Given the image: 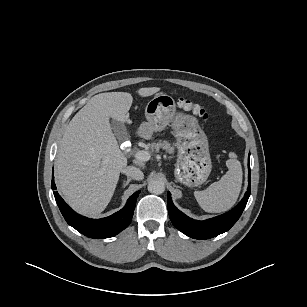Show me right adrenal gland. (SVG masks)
<instances>
[{
  "label": "right adrenal gland",
  "mask_w": 307,
  "mask_h": 307,
  "mask_svg": "<svg viewBox=\"0 0 307 307\" xmlns=\"http://www.w3.org/2000/svg\"><path fill=\"white\" fill-rule=\"evenodd\" d=\"M132 179V177H127L126 183L122 187L125 188L126 186H128Z\"/></svg>",
  "instance_id": "obj_1"
}]
</instances>
